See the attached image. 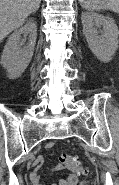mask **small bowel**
I'll return each instance as SVG.
<instances>
[{"label":"small bowel","instance_id":"small-bowel-1","mask_svg":"<svg viewBox=\"0 0 119 185\" xmlns=\"http://www.w3.org/2000/svg\"><path fill=\"white\" fill-rule=\"evenodd\" d=\"M46 148L47 149L54 148V143H52V142L48 143L46 145ZM42 164H43L42 157L36 158L32 163V166L34 167V169L30 173V180L33 185H43L42 179H41V174H40V168H41ZM60 169H62V166L58 165L55 168H53L52 170H60ZM76 182H77V176L74 174H70V175L66 176L65 178L59 179L57 182L53 183L52 185H75Z\"/></svg>","mask_w":119,"mask_h":185}]
</instances>
